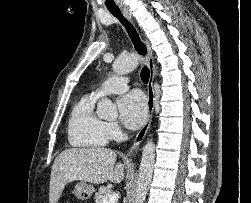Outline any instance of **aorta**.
<instances>
[{
	"label": "aorta",
	"mask_w": 251,
	"mask_h": 203,
	"mask_svg": "<svg viewBox=\"0 0 251 203\" xmlns=\"http://www.w3.org/2000/svg\"><path fill=\"white\" fill-rule=\"evenodd\" d=\"M139 62L136 54L121 56L113 63V71L118 74H126L133 71ZM97 114L101 118L113 119L117 116L116 106L108 98H102L97 105ZM155 162V145L152 139L148 140L143 147L141 162L139 166V174L135 189L134 203H144L149 185L153 175V167Z\"/></svg>",
	"instance_id": "obj_1"
}]
</instances>
